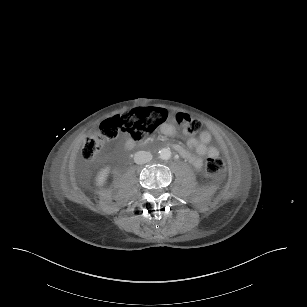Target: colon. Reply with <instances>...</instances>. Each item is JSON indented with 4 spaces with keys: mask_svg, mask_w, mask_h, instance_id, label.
Returning <instances> with one entry per match:
<instances>
[{
    "mask_svg": "<svg viewBox=\"0 0 307 307\" xmlns=\"http://www.w3.org/2000/svg\"><path fill=\"white\" fill-rule=\"evenodd\" d=\"M167 117V111L162 108H137L106 120L100 125L97 133L85 139L81 149L82 158L92 160L99 153L104 141L119 134L140 140L158 128ZM175 119L190 135L198 133L201 129L200 121L187 113L178 112ZM223 169L224 162L221 157L213 155L206 162V172L211 176L220 174Z\"/></svg>",
    "mask_w": 307,
    "mask_h": 307,
    "instance_id": "colon-1",
    "label": "colon"
}]
</instances>
